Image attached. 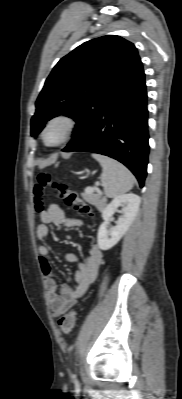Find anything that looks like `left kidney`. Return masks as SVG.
<instances>
[{
  "label": "left kidney",
  "instance_id": "1",
  "mask_svg": "<svg viewBox=\"0 0 182 399\" xmlns=\"http://www.w3.org/2000/svg\"><path fill=\"white\" fill-rule=\"evenodd\" d=\"M140 197L133 193L115 197L102 211L104 222L98 230V246L101 250H109L115 246L127 232L138 212ZM118 207H122V216L116 222V226L108 231V224Z\"/></svg>",
  "mask_w": 182,
  "mask_h": 399
}]
</instances>
